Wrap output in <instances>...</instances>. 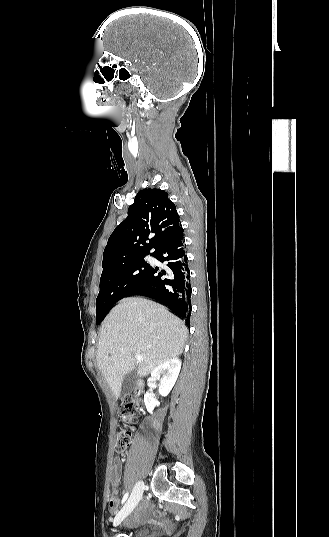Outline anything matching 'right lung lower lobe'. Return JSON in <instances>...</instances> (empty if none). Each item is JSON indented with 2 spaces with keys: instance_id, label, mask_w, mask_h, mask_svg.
Instances as JSON below:
<instances>
[{
  "instance_id": "1",
  "label": "right lung lower lobe",
  "mask_w": 329,
  "mask_h": 537,
  "mask_svg": "<svg viewBox=\"0 0 329 537\" xmlns=\"http://www.w3.org/2000/svg\"><path fill=\"white\" fill-rule=\"evenodd\" d=\"M183 230L164 243L154 254L165 269L150 266L127 296L141 295L155 299L186 321L190 317L191 283Z\"/></svg>"
}]
</instances>
